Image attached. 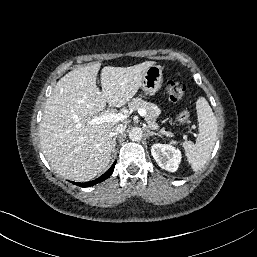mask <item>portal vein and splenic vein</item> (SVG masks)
Masks as SVG:
<instances>
[{"mask_svg":"<svg viewBox=\"0 0 257 257\" xmlns=\"http://www.w3.org/2000/svg\"><path fill=\"white\" fill-rule=\"evenodd\" d=\"M138 113L140 114V116L143 117L146 115V111L144 109H138ZM125 118L126 116L121 113L101 114L98 117H93L90 120V124H100L103 122H118L124 120Z\"/></svg>","mask_w":257,"mask_h":257,"instance_id":"1","label":"portal vein and splenic vein"}]
</instances>
